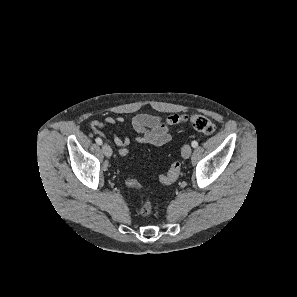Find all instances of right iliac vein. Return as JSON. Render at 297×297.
<instances>
[{
	"mask_svg": "<svg viewBox=\"0 0 297 297\" xmlns=\"http://www.w3.org/2000/svg\"><path fill=\"white\" fill-rule=\"evenodd\" d=\"M102 151L106 157H111L112 149L108 144H103Z\"/></svg>",
	"mask_w": 297,
	"mask_h": 297,
	"instance_id": "63e3f726",
	"label": "right iliac vein"
}]
</instances>
